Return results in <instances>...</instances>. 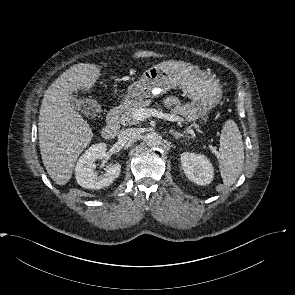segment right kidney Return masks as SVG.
Listing matches in <instances>:
<instances>
[{
	"instance_id": "obj_1",
	"label": "right kidney",
	"mask_w": 295,
	"mask_h": 295,
	"mask_svg": "<svg viewBox=\"0 0 295 295\" xmlns=\"http://www.w3.org/2000/svg\"><path fill=\"white\" fill-rule=\"evenodd\" d=\"M107 146L105 143L92 145L79 158L75 167L77 183L86 189H101L109 186L121 172V165L115 163L105 169V173L97 175L95 172V161L103 159L106 154Z\"/></svg>"
}]
</instances>
